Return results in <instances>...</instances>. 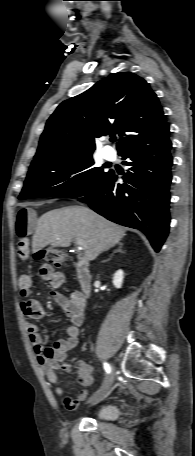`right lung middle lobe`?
Listing matches in <instances>:
<instances>
[{
	"mask_svg": "<svg viewBox=\"0 0 195 456\" xmlns=\"http://www.w3.org/2000/svg\"><path fill=\"white\" fill-rule=\"evenodd\" d=\"M92 155L74 156L47 161L30 167L19 199L39 196L76 198L85 195L106 175L101 168H92ZM80 174L68 179L73 173Z\"/></svg>",
	"mask_w": 195,
	"mask_h": 456,
	"instance_id": "obj_1",
	"label": "right lung middle lobe"
}]
</instances>
